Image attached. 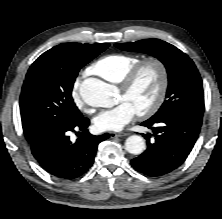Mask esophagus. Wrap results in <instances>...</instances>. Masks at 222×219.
Returning <instances> with one entry per match:
<instances>
[{
	"mask_svg": "<svg viewBox=\"0 0 222 219\" xmlns=\"http://www.w3.org/2000/svg\"><path fill=\"white\" fill-rule=\"evenodd\" d=\"M109 135L111 138H116V137H122L127 135V133L124 132H120V133H116V132H109Z\"/></svg>",
	"mask_w": 222,
	"mask_h": 219,
	"instance_id": "34e87169",
	"label": "esophagus"
}]
</instances>
